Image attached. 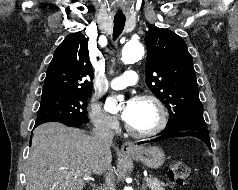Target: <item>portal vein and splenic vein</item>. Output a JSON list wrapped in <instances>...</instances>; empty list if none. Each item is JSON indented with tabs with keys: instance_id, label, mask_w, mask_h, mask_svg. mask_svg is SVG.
I'll return each mask as SVG.
<instances>
[{
	"instance_id": "1",
	"label": "portal vein and splenic vein",
	"mask_w": 238,
	"mask_h": 190,
	"mask_svg": "<svg viewBox=\"0 0 238 190\" xmlns=\"http://www.w3.org/2000/svg\"><path fill=\"white\" fill-rule=\"evenodd\" d=\"M85 180H88L89 178H84ZM150 179H146V182L148 183Z\"/></svg>"
}]
</instances>
